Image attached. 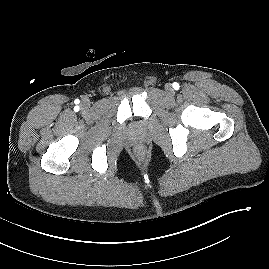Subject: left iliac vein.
<instances>
[{"instance_id": "obj_1", "label": "left iliac vein", "mask_w": 269, "mask_h": 269, "mask_svg": "<svg viewBox=\"0 0 269 269\" xmlns=\"http://www.w3.org/2000/svg\"><path fill=\"white\" fill-rule=\"evenodd\" d=\"M165 90H166L169 94L173 93V89H172L171 84H166V85H165Z\"/></svg>"}]
</instances>
